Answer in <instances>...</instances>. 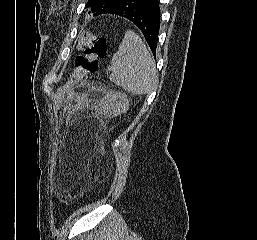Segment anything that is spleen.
Listing matches in <instances>:
<instances>
[{"label":"spleen","mask_w":257,"mask_h":240,"mask_svg":"<svg viewBox=\"0 0 257 240\" xmlns=\"http://www.w3.org/2000/svg\"><path fill=\"white\" fill-rule=\"evenodd\" d=\"M110 81L132 94H147L157 82L155 62L142 39L133 31L124 34L111 60Z\"/></svg>","instance_id":"3e777b00"}]
</instances>
